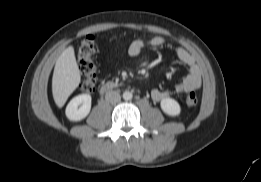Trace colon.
Instances as JSON below:
<instances>
[{
    "instance_id": "1",
    "label": "colon",
    "mask_w": 261,
    "mask_h": 182,
    "mask_svg": "<svg viewBox=\"0 0 261 182\" xmlns=\"http://www.w3.org/2000/svg\"><path fill=\"white\" fill-rule=\"evenodd\" d=\"M97 52V44L93 35H87L78 45L76 52V61L79 69L84 75L81 81V88L85 92H93L97 85V68L94 62V56ZM198 102L195 93H189L186 103L194 106Z\"/></svg>"
}]
</instances>
